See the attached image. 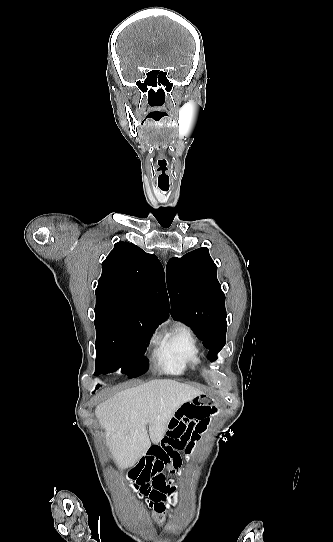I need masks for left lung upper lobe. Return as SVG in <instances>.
<instances>
[{"label":"left lung upper lobe","mask_w":333,"mask_h":542,"mask_svg":"<svg viewBox=\"0 0 333 542\" xmlns=\"http://www.w3.org/2000/svg\"><path fill=\"white\" fill-rule=\"evenodd\" d=\"M173 319L186 322L215 360L226 343L225 295L217 280V266L202 247L166 267Z\"/></svg>","instance_id":"1"}]
</instances>
